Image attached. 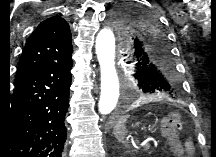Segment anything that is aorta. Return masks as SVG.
<instances>
[{
    "label": "aorta",
    "instance_id": "762f6f07",
    "mask_svg": "<svg viewBox=\"0 0 216 157\" xmlns=\"http://www.w3.org/2000/svg\"><path fill=\"white\" fill-rule=\"evenodd\" d=\"M96 54L101 72V95L98 109L102 115L110 114L119 98V80L115 68V37L109 28L102 29L96 38Z\"/></svg>",
    "mask_w": 216,
    "mask_h": 157
}]
</instances>
